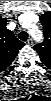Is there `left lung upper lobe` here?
Wrapping results in <instances>:
<instances>
[{
  "label": "left lung upper lobe",
  "mask_w": 51,
  "mask_h": 101,
  "mask_svg": "<svg viewBox=\"0 0 51 101\" xmlns=\"http://www.w3.org/2000/svg\"><path fill=\"white\" fill-rule=\"evenodd\" d=\"M43 25L44 41L34 46L41 61L48 67L51 66V12H46L40 17Z\"/></svg>",
  "instance_id": "left-lung-upper-lobe-1"
}]
</instances>
